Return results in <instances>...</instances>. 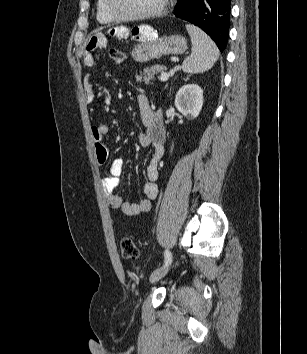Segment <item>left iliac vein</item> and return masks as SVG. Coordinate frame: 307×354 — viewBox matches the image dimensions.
<instances>
[{
  "instance_id": "left-iliac-vein-1",
  "label": "left iliac vein",
  "mask_w": 307,
  "mask_h": 354,
  "mask_svg": "<svg viewBox=\"0 0 307 354\" xmlns=\"http://www.w3.org/2000/svg\"><path fill=\"white\" fill-rule=\"evenodd\" d=\"M169 268H170V266L168 265L166 267L155 270L150 276V282L154 283V282L160 280L162 277H164L167 274V272L169 271Z\"/></svg>"
}]
</instances>
